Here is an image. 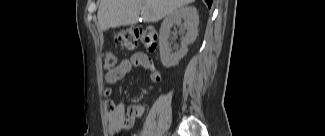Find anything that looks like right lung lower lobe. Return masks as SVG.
Here are the masks:
<instances>
[{
	"label": "right lung lower lobe",
	"mask_w": 325,
	"mask_h": 136,
	"mask_svg": "<svg viewBox=\"0 0 325 136\" xmlns=\"http://www.w3.org/2000/svg\"><path fill=\"white\" fill-rule=\"evenodd\" d=\"M209 7H211L212 0H205Z\"/></svg>",
	"instance_id": "right-lung-lower-lobe-1"
}]
</instances>
